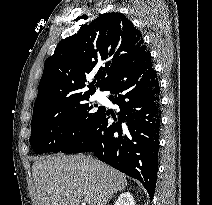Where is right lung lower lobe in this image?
Here are the masks:
<instances>
[{
	"label": "right lung lower lobe",
	"instance_id": "obj_1",
	"mask_svg": "<svg viewBox=\"0 0 212 205\" xmlns=\"http://www.w3.org/2000/svg\"><path fill=\"white\" fill-rule=\"evenodd\" d=\"M104 91L120 107L108 123L103 109L94 124L59 152H93L101 161L138 179L153 198L158 171L160 87L149 51L123 67Z\"/></svg>",
	"mask_w": 212,
	"mask_h": 205
}]
</instances>
